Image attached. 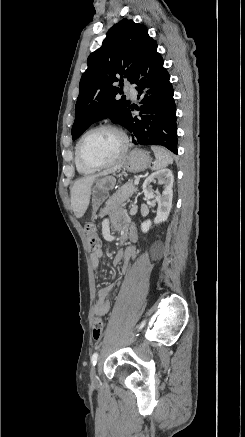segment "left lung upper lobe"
Segmentation results:
<instances>
[{
	"label": "left lung upper lobe",
	"mask_w": 245,
	"mask_h": 437,
	"mask_svg": "<svg viewBox=\"0 0 245 437\" xmlns=\"http://www.w3.org/2000/svg\"><path fill=\"white\" fill-rule=\"evenodd\" d=\"M157 46L145 26L129 19L113 25L102 46L88 57V68L79 84L72 138L77 139L90 124L111 118L126 127L130 101L121 98L123 78L134 83L147 54ZM120 79V88L113 85Z\"/></svg>",
	"instance_id": "5c2ea615"
}]
</instances>
